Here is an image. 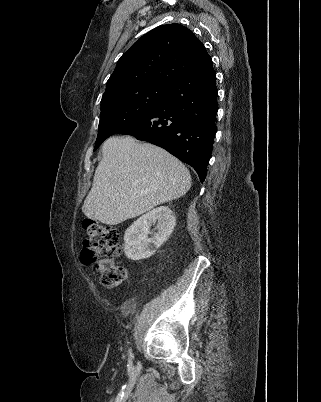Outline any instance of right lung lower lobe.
Wrapping results in <instances>:
<instances>
[{
  "label": "right lung lower lobe",
  "mask_w": 321,
  "mask_h": 402,
  "mask_svg": "<svg viewBox=\"0 0 321 402\" xmlns=\"http://www.w3.org/2000/svg\"><path fill=\"white\" fill-rule=\"evenodd\" d=\"M215 79L211 64L175 81L161 104L117 133L163 147L192 166L203 182L216 133Z\"/></svg>",
  "instance_id": "right-lung-lower-lobe-1"
}]
</instances>
